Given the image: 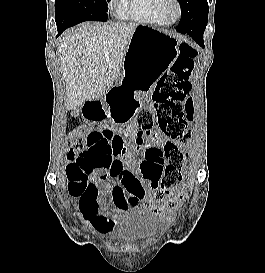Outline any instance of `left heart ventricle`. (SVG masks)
Segmentation results:
<instances>
[{
    "mask_svg": "<svg viewBox=\"0 0 265 273\" xmlns=\"http://www.w3.org/2000/svg\"><path fill=\"white\" fill-rule=\"evenodd\" d=\"M170 12H171V14H174L175 8L173 6L170 8Z\"/></svg>",
    "mask_w": 265,
    "mask_h": 273,
    "instance_id": "obj_1",
    "label": "left heart ventricle"
}]
</instances>
